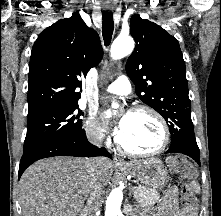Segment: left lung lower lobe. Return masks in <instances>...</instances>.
<instances>
[{
	"mask_svg": "<svg viewBox=\"0 0 221 216\" xmlns=\"http://www.w3.org/2000/svg\"><path fill=\"white\" fill-rule=\"evenodd\" d=\"M166 153H182L194 159L200 165V154L197 151H191L185 148H169Z\"/></svg>",
	"mask_w": 221,
	"mask_h": 216,
	"instance_id": "left-lung-lower-lobe-1",
	"label": "left lung lower lobe"
}]
</instances>
